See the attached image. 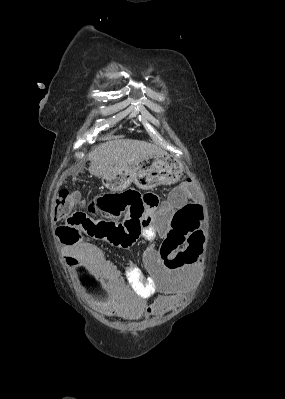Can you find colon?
I'll use <instances>...</instances> for the list:
<instances>
[{"mask_svg": "<svg viewBox=\"0 0 285 399\" xmlns=\"http://www.w3.org/2000/svg\"><path fill=\"white\" fill-rule=\"evenodd\" d=\"M180 191L191 192L195 189L192 181H186L177 186ZM131 192L105 194L99 198V204L102 208H116L120 211L125 209ZM133 209L129 212H123V220L111 226L104 237L110 242L121 245L122 247L132 246L142 235L149 225L146 207H153L158 204L155 196L145 198H135L132 200ZM80 205L78 194L75 190L61 188L56 196L53 205V215L57 220H64L65 226L60 227V238L66 244H76L83 238L80 228L92 227L93 223L86 217V213L81 210H74ZM175 220L181 221L188 218L186 210H180L175 214ZM69 232V237H64L62 231ZM161 258L165 262L166 268H177L182 266L188 258L184 257L181 248L175 246L164 247L161 250ZM82 272L89 278L92 286L107 295L102 283L91 279L90 270L87 267Z\"/></svg>", "mask_w": 285, "mask_h": 399, "instance_id": "obj_1", "label": "colon"}]
</instances>
